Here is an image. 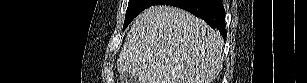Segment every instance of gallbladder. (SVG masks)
Instances as JSON below:
<instances>
[{"label":"gallbladder","mask_w":307,"mask_h":83,"mask_svg":"<svg viewBox=\"0 0 307 83\" xmlns=\"http://www.w3.org/2000/svg\"><path fill=\"white\" fill-rule=\"evenodd\" d=\"M126 82L128 83H138L137 78L130 76V78L128 80H126Z\"/></svg>","instance_id":"gallbladder-1"}]
</instances>
